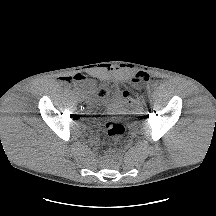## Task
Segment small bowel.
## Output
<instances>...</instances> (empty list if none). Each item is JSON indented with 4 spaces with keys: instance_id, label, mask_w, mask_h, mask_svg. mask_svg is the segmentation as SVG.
<instances>
[{
    "instance_id": "c3829d8e",
    "label": "small bowel",
    "mask_w": 216,
    "mask_h": 216,
    "mask_svg": "<svg viewBox=\"0 0 216 216\" xmlns=\"http://www.w3.org/2000/svg\"><path fill=\"white\" fill-rule=\"evenodd\" d=\"M62 80H64L65 82H76V83H84L86 81V77L81 74V73H76L70 77H65V78H62ZM141 80H144V75L143 74H139V75H136L134 81H141ZM87 88H91L92 85L90 83H85ZM122 94L123 96H128V92L123 90L122 91Z\"/></svg>"
}]
</instances>
